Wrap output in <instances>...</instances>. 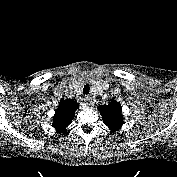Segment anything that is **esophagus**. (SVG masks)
<instances>
[{
	"label": "esophagus",
	"instance_id": "obj_1",
	"mask_svg": "<svg viewBox=\"0 0 177 177\" xmlns=\"http://www.w3.org/2000/svg\"><path fill=\"white\" fill-rule=\"evenodd\" d=\"M84 102H85L86 105L90 106V105L93 104V99H92V97H90V96H86V97L84 98Z\"/></svg>",
	"mask_w": 177,
	"mask_h": 177
}]
</instances>
